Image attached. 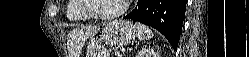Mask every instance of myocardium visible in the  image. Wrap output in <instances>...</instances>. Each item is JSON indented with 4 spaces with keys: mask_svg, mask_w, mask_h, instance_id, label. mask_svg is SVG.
Returning a JSON list of instances; mask_svg holds the SVG:
<instances>
[{
    "mask_svg": "<svg viewBox=\"0 0 249 57\" xmlns=\"http://www.w3.org/2000/svg\"><path fill=\"white\" fill-rule=\"evenodd\" d=\"M90 3L91 0H80L79 8L82 11V13L89 18L96 20H105V21L119 18L127 11L129 6V0H125L123 1L122 7L118 11L110 14H98L90 11Z\"/></svg>",
    "mask_w": 249,
    "mask_h": 57,
    "instance_id": "myocardium-1",
    "label": "myocardium"
}]
</instances>
